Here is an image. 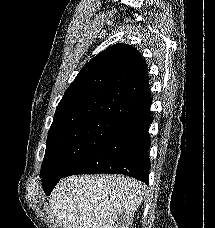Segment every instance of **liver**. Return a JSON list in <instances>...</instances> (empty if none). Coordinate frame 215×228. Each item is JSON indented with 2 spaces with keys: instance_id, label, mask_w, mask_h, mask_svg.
Wrapping results in <instances>:
<instances>
[{
  "instance_id": "obj_1",
  "label": "liver",
  "mask_w": 215,
  "mask_h": 228,
  "mask_svg": "<svg viewBox=\"0 0 215 228\" xmlns=\"http://www.w3.org/2000/svg\"><path fill=\"white\" fill-rule=\"evenodd\" d=\"M145 188L128 176H70L48 200L63 228H130Z\"/></svg>"
}]
</instances>
